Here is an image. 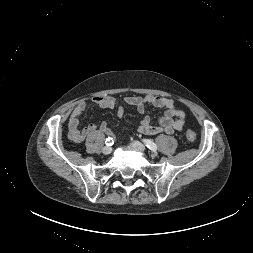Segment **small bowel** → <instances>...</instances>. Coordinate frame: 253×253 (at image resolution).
Masks as SVG:
<instances>
[{"instance_id": "small-bowel-1", "label": "small bowel", "mask_w": 253, "mask_h": 253, "mask_svg": "<svg viewBox=\"0 0 253 253\" xmlns=\"http://www.w3.org/2000/svg\"><path fill=\"white\" fill-rule=\"evenodd\" d=\"M91 103L105 109H115L117 116L124 113V105L134 106L140 114L145 113L146 105H152L163 110V115L159 118V125H151L149 116H145L138 127V132L143 135H155L158 133L172 134L174 131L181 132L185 125V113L176 107L175 103L167 98L147 95V96H127L120 102L112 96H97L91 99ZM88 101L79 102L70 114L68 121V138L74 143L83 142L87 136L92 134L97 125L89 124L84 128H79V119L87 109ZM100 131L107 135H112L111 129L105 122L99 126Z\"/></svg>"}]
</instances>
